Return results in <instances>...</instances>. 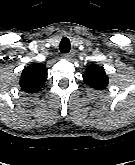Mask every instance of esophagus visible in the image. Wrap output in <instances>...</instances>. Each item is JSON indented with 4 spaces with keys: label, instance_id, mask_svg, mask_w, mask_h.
I'll use <instances>...</instances> for the list:
<instances>
[{
    "label": "esophagus",
    "instance_id": "esophagus-1",
    "mask_svg": "<svg viewBox=\"0 0 135 165\" xmlns=\"http://www.w3.org/2000/svg\"><path fill=\"white\" fill-rule=\"evenodd\" d=\"M74 56V52H70V53H64L63 54V58L64 59H67V60H70L72 57Z\"/></svg>",
    "mask_w": 135,
    "mask_h": 165
}]
</instances>
